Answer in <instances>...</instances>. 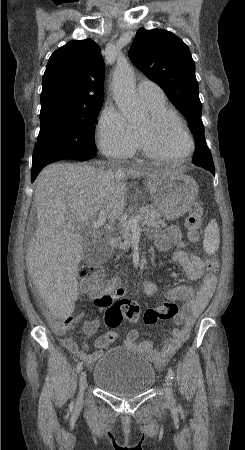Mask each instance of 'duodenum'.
I'll use <instances>...</instances> for the list:
<instances>
[{
    "mask_svg": "<svg viewBox=\"0 0 245 450\" xmlns=\"http://www.w3.org/2000/svg\"><path fill=\"white\" fill-rule=\"evenodd\" d=\"M108 243L112 248H114L117 245V240L115 238H109Z\"/></svg>",
    "mask_w": 245,
    "mask_h": 450,
    "instance_id": "1",
    "label": "duodenum"
}]
</instances>
